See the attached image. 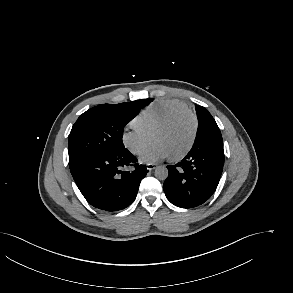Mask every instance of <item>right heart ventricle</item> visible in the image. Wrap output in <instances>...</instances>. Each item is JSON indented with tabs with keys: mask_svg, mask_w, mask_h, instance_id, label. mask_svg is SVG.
I'll return each mask as SVG.
<instances>
[{
	"mask_svg": "<svg viewBox=\"0 0 293 293\" xmlns=\"http://www.w3.org/2000/svg\"><path fill=\"white\" fill-rule=\"evenodd\" d=\"M189 110L186 103L177 99L158 100L146 107L134 120L133 127L151 136L154 130L173 114Z\"/></svg>",
	"mask_w": 293,
	"mask_h": 293,
	"instance_id": "right-heart-ventricle-1",
	"label": "right heart ventricle"
}]
</instances>
